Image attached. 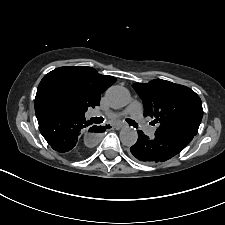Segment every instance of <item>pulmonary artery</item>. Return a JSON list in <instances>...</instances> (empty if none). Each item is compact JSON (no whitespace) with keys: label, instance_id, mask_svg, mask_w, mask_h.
<instances>
[{"label":"pulmonary artery","instance_id":"obj_1","mask_svg":"<svg viewBox=\"0 0 225 225\" xmlns=\"http://www.w3.org/2000/svg\"><path fill=\"white\" fill-rule=\"evenodd\" d=\"M130 115L132 117L133 120H135L138 124H140V126L144 129L145 133L150 136V137H154L156 128L149 126L143 117V106L142 103L139 101H133L125 110L121 111V112H109L104 114L107 118H117L120 117L122 115ZM94 116H101L103 115L100 111H94L93 112Z\"/></svg>","mask_w":225,"mask_h":225}]
</instances>
